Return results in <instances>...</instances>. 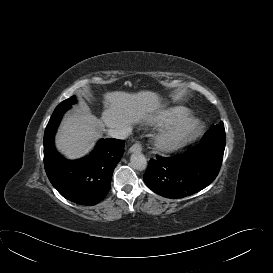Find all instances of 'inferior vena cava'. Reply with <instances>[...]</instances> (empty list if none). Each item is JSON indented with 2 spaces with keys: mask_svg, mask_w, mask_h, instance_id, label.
Masks as SVG:
<instances>
[{
  "mask_svg": "<svg viewBox=\"0 0 273 273\" xmlns=\"http://www.w3.org/2000/svg\"><path fill=\"white\" fill-rule=\"evenodd\" d=\"M130 130L128 128H115V129H109L108 134L112 138L116 139H126L128 137Z\"/></svg>",
  "mask_w": 273,
  "mask_h": 273,
  "instance_id": "602c4592",
  "label": "inferior vena cava"
}]
</instances>
